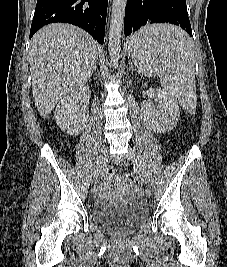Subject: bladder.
<instances>
[{"instance_id": "31cf9c89", "label": "bladder", "mask_w": 227, "mask_h": 267, "mask_svg": "<svg viewBox=\"0 0 227 267\" xmlns=\"http://www.w3.org/2000/svg\"><path fill=\"white\" fill-rule=\"evenodd\" d=\"M148 216L143 204L118 206L107 203H96L92 207V218L95 223L127 233L139 226Z\"/></svg>"}]
</instances>
